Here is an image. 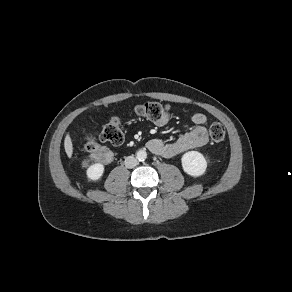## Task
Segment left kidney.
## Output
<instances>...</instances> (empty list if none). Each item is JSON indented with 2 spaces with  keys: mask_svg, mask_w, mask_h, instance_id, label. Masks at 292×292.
Returning a JSON list of instances; mask_svg holds the SVG:
<instances>
[{
  "mask_svg": "<svg viewBox=\"0 0 292 292\" xmlns=\"http://www.w3.org/2000/svg\"><path fill=\"white\" fill-rule=\"evenodd\" d=\"M183 170L190 176L199 177L206 172L207 162L198 151L186 152L181 159Z\"/></svg>",
  "mask_w": 292,
  "mask_h": 292,
  "instance_id": "obj_1",
  "label": "left kidney"
}]
</instances>
